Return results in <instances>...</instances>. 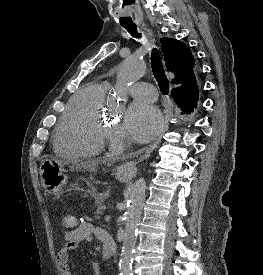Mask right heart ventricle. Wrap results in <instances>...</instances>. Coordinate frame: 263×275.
Listing matches in <instances>:
<instances>
[{"instance_id": "obj_1", "label": "right heart ventricle", "mask_w": 263, "mask_h": 275, "mask_svg": "<svg viewBox=\"0 0 263 275\" xmlns=\"http://www.w3.org/2000/svg\"><path fill=\"white\" fill-rule=\"evenodd\" d=\"M107 87L91 83L81 88L68 102L54 135L57 153L68 158L97 156L104 141L95 133L101 116Z\"/></svg>"}]
</instances>
